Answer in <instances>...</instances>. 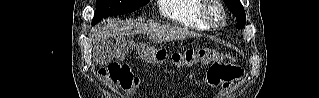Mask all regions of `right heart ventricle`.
<instances>
[{"label": "right heart ventricle", "mask_w": 319, "mask_h": 98, "mask_svg": "<svg viewBox=\"0 0 319 98\" xmlns=\"http://www.w3.org/2000/svg\"><path fill=\"white\" fill-rule=\"evenodd\" d=\"M203 1L200 0H163L161 14L168 20L195 30H208L210 25L202 14Z\"/></svg>", "instance_id": "1"}]
</instances>
